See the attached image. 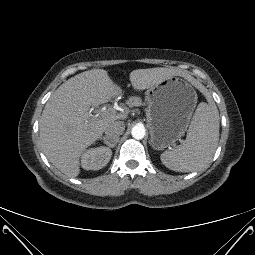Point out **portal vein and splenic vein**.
<instances>
[{"label": "portal vein and splenic vein", "mask_w": 255, "mask_h": 255, "mask_svg": "<svg viewBox=\"0 0 255 255\" xmlns=\"http://www.w3.org/2000/svg\"><path fill=\"white\" fill-rule=\"evenodd\" d=\"M113 113H114V111L106 110L103 115L104 116H109V115H112Z\"/></svg>", "instance_id": "obj_1"}]
</instances>
